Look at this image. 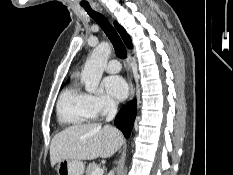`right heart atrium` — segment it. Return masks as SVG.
I'll return each mask as SVG.
<instances>
[{"mask_svg": "<svg viewBox=\"0 0 233 175\" xmlns=\"http://www.w3.org/2000/svg\"><path fill=\"white\" fill-rule=\"evenodd\" d=\"M90 101L95 116L107 115L116 108L115 101L103 93L90 94Z\"/></svg>", "mask_w": 233, "mask_h": 175, "instance_id": "obj_1", "label": "right heart atrium"}]
</instances>
